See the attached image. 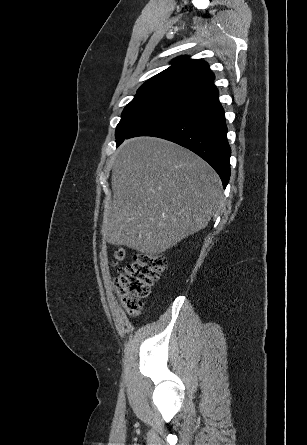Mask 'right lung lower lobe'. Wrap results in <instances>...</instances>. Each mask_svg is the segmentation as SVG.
Masks as SVG:
<instances>
[{
    "label": "right lung lower lobe",
    "mask_w": 307,
    "mask_h": 445,
    "mask_svg": "<svg viewBox=\"0 0 307 445\" xmlns=\"http://www.w3.org/2000/svg\"><path fill=\"white\" fill-rule=\"evenodd\" d=\"M224 110L213 87L184 101L173 110L137 128L122 140L136 136L163 138L190 149L207 161L225 188L230 178V155Z\"/></svg>",
    "instance_id": "right-lung-lower-lobe-1"
}]
</instances>
